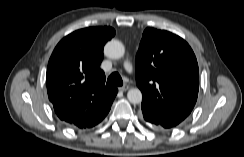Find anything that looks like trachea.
Wrapping results in <instances>:
<instances>
[{
  "label": "trachea",
  "instance_id": "1",
  "mask_svg": "<svg viewBox=\"0 0 244 157\" xmlns=\"http://www.w3.org/2000/svg\"><path fill=\"white\" fill-rule=\"evenodd\" d=\"M108 86H122L123 81L118 72H113L107 79Z\"/></svg>",
  "mask_w": 244,
  "mask_h": 157
}]
</instances>
